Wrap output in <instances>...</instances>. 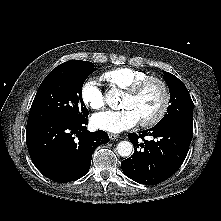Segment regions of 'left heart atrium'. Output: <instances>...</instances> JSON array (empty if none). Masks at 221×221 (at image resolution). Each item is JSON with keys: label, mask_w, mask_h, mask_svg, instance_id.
<instances>
[{"label": "left heart atrium", "mask_w": 221, "mask_h": 221, "mask_svg": "<svg viewBox=\"0 0 221 221\" xmlns=\"http://www.w3.org/2000/svg\"><path fill=\"white\" fill-rule=\"evenodd\" d=\"M137 114L129 108L120 111H105L92 117L93 125L101 130L119 133L139 123Z\"/></svg>", "instance_id": "obj_1"}]
</instances>
